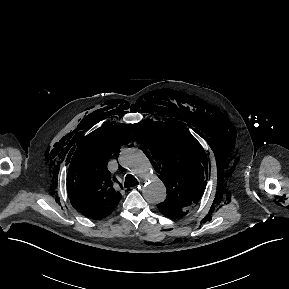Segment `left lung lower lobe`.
<instances>
[{"instance_id": "1", "label": "left lung lower lobe", "mask_w": 289, "mask_h": 289, "mask_svg": "<svg viewBox=\"0 0 289 289\" xmlns=\"http://www.w3.org/2000/svg\"><path fill=\"white\" fill-rule=\"evenodd\" d=\"M158 209L163 215H165L166 217H169V218H178V217H182L185 215L181 212H174V211L164 209V208H158Z\"/></svg>"}]
</instances>
